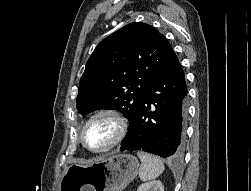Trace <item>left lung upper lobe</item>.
I'll return each instance as SVG.
<instances>
[{
    "mask_svg": "<svg viewBox=\"0 0 251 191\" xmlns=\"http://www.w3.org/2000/svg\"><path fill=\"white\" fill-rule=\"evenodd\" d=\"M172 51L166 37L148 24L134 22L114 32L97 45L86 63L76 100L79 113L120 110L130 127Z\"/></svg>",
    "mask_w": 251,
    "mask_h": 191,
    "instance_id": "left-lung-upper-lobe-1",
    "label": "left lung upper lobe"
}]
</instances>
